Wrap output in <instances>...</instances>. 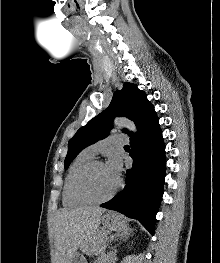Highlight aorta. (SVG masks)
Here are the masks:
<instances>
[{"label":"aorta","instance_id":"762f6f07","mask_svg":"<svg viewBox=\"0 0 220 263\" xmlns=\"http://www.w3.org/2000/svg\"><path fill=\"white\" fill-rule=\"evenodd\" d=\"M114 125L117 127H125L130 131L136 132V126L135 124L127 119H116L114 121Z\"/></svg>","mask_w":220,"mask_h":263}]
</instances>
